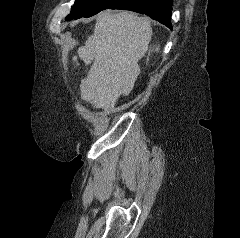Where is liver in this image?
Segmentation results:
<instances>
[{
	"label": "liver",
	"instance_id": "obj_1",
	"mask_svg": "<svg viewBox=\"0 0 240 238\" xmlns=\"http://www.w3.org/2000/svg\"><path fill=\"white\" fill-rule=\"evenodd\" d=\"M151 35L150 22L143 17L127 11L100 12L93 35L78 49L86 65L93 62L87 77L81 80V99L107 111L121 95H129L140 74L138 61L146 54Z\"/></svg>",
	"mask_w": 240,
	"mask_h": 238
}]
</instances>
